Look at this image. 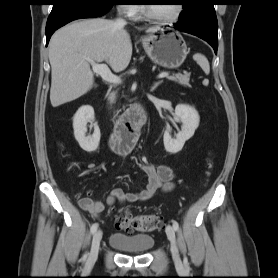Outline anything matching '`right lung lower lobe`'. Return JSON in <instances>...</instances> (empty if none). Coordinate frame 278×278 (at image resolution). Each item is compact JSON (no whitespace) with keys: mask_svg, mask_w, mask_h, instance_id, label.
I'll return each instance as SVG.
<instances>
[{"mask_svg":"<svg viewBox=\"0 0 278 278\" xmlns=\"http://www.w3.org/2000/svg\"><path fill=\"white\" fill-rule=\"evenodd\" d=\"M110 8L66 2L59 7L52 9L46 24V41L49 43L51 35L63 25L81 18H94L106 14Z\"/></svg>","mask_w":278,"mask_h":278,"instance_id":"right-lung-lower-lobe-1","label":"right lung lower lobe"}]
</instances>
